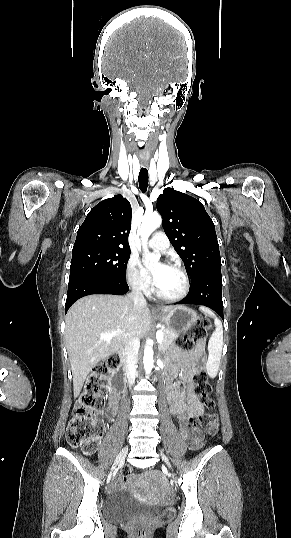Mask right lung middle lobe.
I'll use <instances>...</instances> for the list:
<instances>
[{
	"label": "right lung middle lobe",
	"instance_id": "dd1d6c3e",
	"mask_svg": "<svg viewBox=\"0 0 291 538\" xmlns=\"http://www.w3.org/2000/svg\"><path fill=\"white\" fill-rule=\"evenodd\" d=\"M130 249L89 246L72 251L70 279L78 276H98L126 280Z\"/></svg>",
	"mask_w": 291,
	"mask_h": 538
}]
</instances>
